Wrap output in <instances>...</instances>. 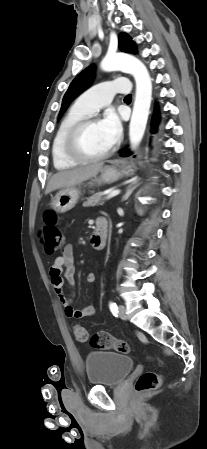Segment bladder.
<instances>
[{"label":"bladder","mask_w":207,"mask_h":449,"mask_svg":"<svg viewBox=\"0 0 207 449\" xmlns=\"http://www.w3.org/2000/svg\"><path fill=\"white\" fill-rule=\"evenodd\" d=\"M134 367L133 358L117 352H89L85 356L87 380L93 386H117Z\"/></svg>","instance_id":"1"}]
</instances>
